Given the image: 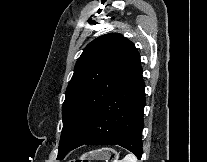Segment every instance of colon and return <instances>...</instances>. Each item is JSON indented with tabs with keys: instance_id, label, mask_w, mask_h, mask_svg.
I'll list each match as a JSON object with an SVG mask.
<instances>
[{
	"instance_id": "5ec220e1",
	"label": "colon",
	"mask_w": 207,
	"mask_h": 162,
	"mask_svg": "<svg viewBox=\"0 0 207 162\" xmlns=\"http://www.w3.org/2000/svg\"><path fill=\"white\" fill-rule=\"evenodd\" d=\"M67 162H91V161H89V160H70Z\"/></svg>"
}]
</instances>
